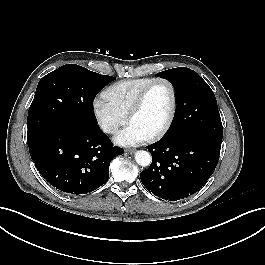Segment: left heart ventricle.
<instances>
[{
    "label": "left heart ventricle",
    "mask_w": 265,
    "mask_h": 265,
    "mask_svg": "<svg viewBox=\"0 0 265 265\" xmlns=\"http://www.w3.org/2000/svg\"><path fill=\"white\" fill-rule=\"evenodd\" d=\"M170 108L171 93L168 86L164 83H157L150 89L142 108L130 123L151 136L164 125Z\"/></svg>",
    "instance_id": "b2bd125f"
}]
</instances>
